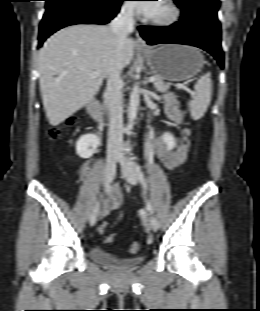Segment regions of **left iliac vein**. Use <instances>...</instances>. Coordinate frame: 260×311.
Masks as SVG:
<instances>
[{"label": "left iliac vein", "mask_w": 260, "mask_h": 311, "mask_svg": "<svg viewBox=\"0 0 260 311\" xmlns=\"http://www.w3.org/2000/svg\"><path fill=\"white\" fill-rule=\"evenodd\" d=\"M119 160L123 163V172L126 177V180L131 185H136L139 181L135 165L132 162L131 158L128 157L123 151L119 153ZM150 229L156 232L159 229V221L155 216H152L149 221Z\"/></svg>", "instance_id": "obj_1"}]
</instances>
